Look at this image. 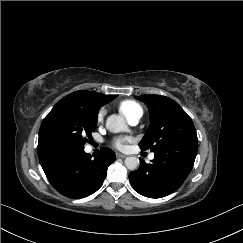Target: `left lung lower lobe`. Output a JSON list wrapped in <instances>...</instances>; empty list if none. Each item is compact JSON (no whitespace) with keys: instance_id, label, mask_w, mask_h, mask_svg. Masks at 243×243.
Returning a JSON list of instances; mask_svg holds the SVG:
<instances>
[{"instance_id":"obj_1","label":"left lung lower lobe","mask_w":243,"mask_h":243,"mask_svg":"<svg viewBox=\"0 0 243 243\" xmlns=\"http://www.w3.org/2000/svg\"><path fill=\"white\" fill-rule=\"evenodd\" d=\"M197 139L180 140L154 151L155 157L129 174V181L139 194L161 198L173 193L192 170L197 154Z\"/></svg>"}]
</instances>
